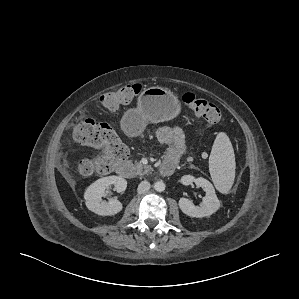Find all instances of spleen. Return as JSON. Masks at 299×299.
<instances>
[{"instance_id": "1", "label": "spleen", "mask_w": 299, "mask_h": 299, "mask_svg": "<svg viewBox=\"0 0 299 299\" xmlns=\"http://www.w3.org/2000/svg\"><path fill=\"white\" fill-rule=\"evenodd\" d=\"M209 171L216 188L227 193L235 178V155L227 134L220 132L209 157Z\"/></svg>"}]
</instances>
